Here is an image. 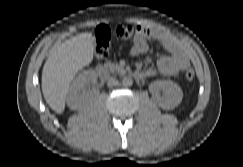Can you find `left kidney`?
I'll return each mask as SVG.
<instances>
[{"label": "left kidney", "mask_w": 243, "mask_h": 167, "mask_svg": "<svg viewBox=\"0 0 243 167\" xmlns=\"http://www.w3.org/2000/svg\"><path fill=\"white\" fill-rule=\"evenodd\" d=\"M155 103L163 109H173L177 107L183 98V92L179 85L170 80H157L149 85ZM160 91L165 93V97L160 96Z\"/></svg>", "instance_id": "1"}]
</instances>
